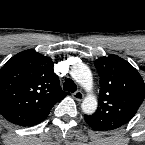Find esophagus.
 <instances>
[{
    "label": "esophagus",
    "mask_w": 145,
    "mask_h": 145,
    "mask_svg": "<svg viewBox=\"0 0 145 145\" xmlns=\"http://www.w3.org/2000/svg\"><path fill=\"white\" fill-rule=\"evenodd\" d=\"M73 98L77 101H81L84 98V94L81 91H76L73 93Z\"/></svg>",
    "instance_id": "34e87169"
}]
</instances>
